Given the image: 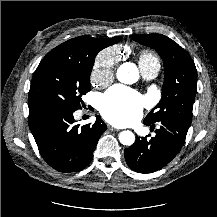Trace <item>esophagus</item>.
I'll return each instance as SVG.
<instances>
[{
  "label": "esophagus",
  "mask_w": 217,
  "mask_h": 217,
  "mask_svg": "<svg viewBox=\"0 0 217 217\" xmlns=\"http://www.w3.org/2000/svg\"><path fill=\"white\" fill-rule=\"evenodd\" d=\"M108 129L111 130V131H119V129L113 127V126H108Z\"/></svg>",
  "instance_id": "34e87169"
}]
</instances>
